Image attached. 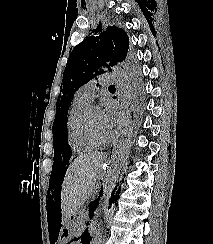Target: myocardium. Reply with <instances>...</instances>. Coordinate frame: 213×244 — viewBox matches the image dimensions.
<instances>
[{"mask_svg": "<svg viewBox=\"0 0 213 244\" xmlns=\"http://www.w3.org/2000/svg\"><path fill=\"white\" fill-rule=\"evenodd\" d=\"M89 111H90V108H88V110L86 111V114H85V127H86V131H87L89 137L97 144H107V143L111 142L114 137L113 133H110V135L107 137H100L95 132V130L91 124V121H90Z\"/></svg>", "mask_w": 213, "mask_h": 244, "instance_id": "1", "label": "myocardium"}]
</instances>
